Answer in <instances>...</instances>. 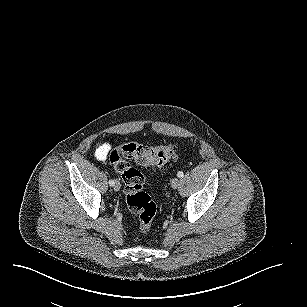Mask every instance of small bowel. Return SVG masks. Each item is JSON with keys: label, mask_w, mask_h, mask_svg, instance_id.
<instances>
[{"label": "small bowel", "mask_w": 307, "mask_h": 307, "mask_svg": "<svg viewBox=\"0 0 307 307\" xmlns=\"http://www.w3.org/2000/svg\"><path fill=\"white\" fill-rule=\"evenodd\" d=\"M109 150H110V145L108 143H100L96 148L95 158L98 161L106 160Z\"/></svg>", "instance_id": "small-bowel-1"}]
</instances>
